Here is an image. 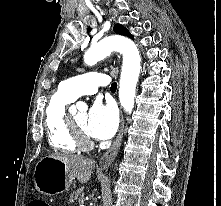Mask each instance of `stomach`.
I'll return each instance as SVG.
<instances>
[{
  "mask_svg": "<svg viewBox=\"0 0 221 206\" xmlns=\"http://www.w3.org/2000/svg\"><path fill=\"white\" fill-rule=\"evenodd\" d=\"M74 180L66 164L54 157L42 158L34 170V187L42 194L54 195L68 190Z\"/></svg>",
  "mask_w": 221,
  "mask_h": 206,
  "instance_id": "0dacf381",
  "label": "stomach"
}]
</instances>
